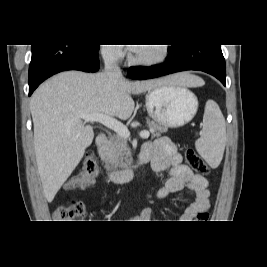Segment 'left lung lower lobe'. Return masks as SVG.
Listing matches in <instances>:
<instances>
[{"label":"left lung lower lobe","instance_id":"0a47b994","mask_svg":"<svg viewBox=\"0 0 267 267\" xmlns=\"http://www.w3.org/2000/svg\"><path fill=\"white\" fill-rule=\"evenodd\" d=\"M185 70L209 73L226 86V68L221 45L174 44L168 49V59L163 64L130 67L128 75L132 79L144 80Z\"/></svg>","mask_w":267,"mask_h":267}]
</instances>
